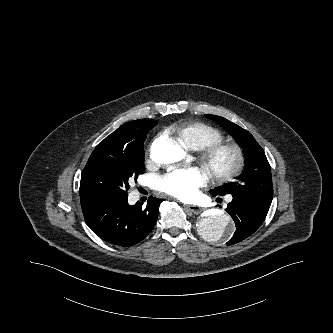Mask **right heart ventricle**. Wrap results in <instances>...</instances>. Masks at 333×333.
Wrapping results in <instances>:
<instances>
[{"label":"right heart ventricle","mask_w":333,"mask_h":333,"mask_svg":"<svg viewBox=\"0 0 333 333\" xmlns=\"http://www.w3.org/2000/svg\"><path fill=\"white\" fill-rule=\"evenodd\" d=\"M176 138L188 149L198 150L222 142L223 133L201 122L182 121L173 127Z\"/></svg>","instance_id":"1"}]
</instances>
